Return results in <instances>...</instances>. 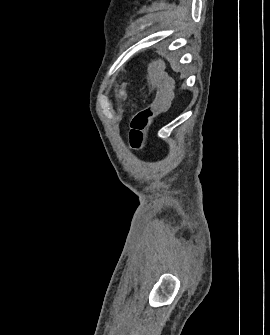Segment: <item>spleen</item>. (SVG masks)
Returning a JSON list of instances; mask_svg holds the SVG:
<instances>
[{
    "label": "spleen",
    "mask_w": 270,
    "mask_h": 335,
    "mask_svg": "<svg viewBox=\"0 0 270 335\" xmlns=\"http://www.w3.org/2000/svg\"><path fill=\"white\" fill-rule=\"evenodd\" d=\"M170 64H171V68H172V70H174V72H179V66H178L177 62H174V60H171Z\"/></svg>",
    "instance_id": "obj_1"
}]
</instances>
